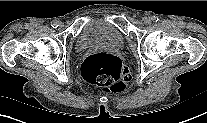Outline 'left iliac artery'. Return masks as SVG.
Returning <instances> with one entry per match:
<instances>
[{"instance_id":"1","label":"left iliac artery","mask_w":207,"mask_h":123,"mask_svg":"<svg viewBox=\"0 0 207 123\" xmlns=\"http://www.w3.org/2000/svg\"><path fill=\"white\" fill-rule=\"evenodd\" d=\"M151 20L154 22H157L159 20V18H158V16L154 15V16H151Z\"/></svg>"}]
</instances>
